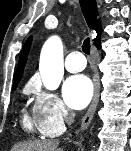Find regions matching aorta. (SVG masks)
Returning <instances> with one entry per match:
<instances>
[{
    "instance_id": "obj_1",
    "label": "aorta",
    "mask_w": 131,
    "mask_h": 151,
    "mask_svg": "<svg viewBox=\"0 0 131 151\" xmlns=\"http://www.w3.org/2000/svg\"><path fill=\"white\" fill-rule=\"evenodd\" d=\"M39 70L44 86L49 90H55L63 78V46L59 37L52 36L44 44Z\"/></svg>"
}]
</instances>
